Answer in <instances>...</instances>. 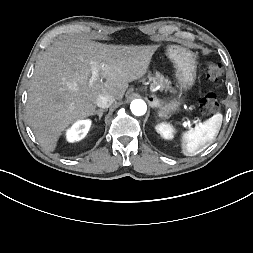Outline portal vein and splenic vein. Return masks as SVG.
Returning <instances> with one entry per match:
<instances>
[{
  "mask_svg": "<svg viewBox=\"0 0 253 253\" xmlns=\"http://www.w3.org/2000/svg\"><path fill=\"white\" fill-rule=\"evenodd\" d=\"M100 79L99 77V72L97 67L92 63V75L89 79V84L93 85L96 81H98ZM184 126H190V121L187 120L184 122Z\"/></svg>",
  "mask_w": 253,
  "mask_h": 253,
  "instance_id": "obj_1",
  "label": "portal vein and splenic vein"
}]
</instances>
